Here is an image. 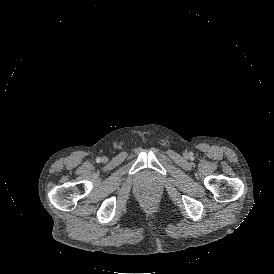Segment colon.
I'll use <instances>...</instances> for the list:
<instances>
[{"label": "colon", "mask_w": 274, "mask_h": 274, "mask_svg": "<svg viewBox=\"0 0 274 274\" xmlns=\"http://www.w3.org/2000/svg\"><path fill=\"white\" fill-rule=\"evenodd\" d=\"M158 201V194L156 192H149L140 196V203L142 205L155 206Z\"/></svg>", "instance_id": "colon-1"}]
</instances>
